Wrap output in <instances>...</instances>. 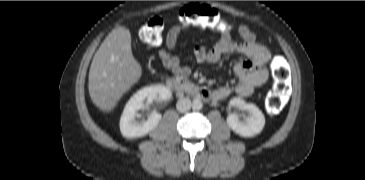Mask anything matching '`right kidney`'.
I'll return each instance as SVG.
<instances>
[{
    "label": "right kidney",
    "instance_id": "ca27d5eb",
    "mask_svg": "<svg viewBox=\"0 0 365 180\" xmlns=\"http://www.w3.org/2000/svg\"><path fill=\"white\" fill-rule=\"evenodd\" d=\"M171 95L170 89L163 85L147 86L135 93L127 102L120 119V131L123 137L134 139L154 130L161 121L162 115L152 112L145 122L139 123L136 121V117L139 116L138 111L144 109L145 100L147 103H152L157 98L169 100Z\"/></svg>",
    "mask_w": 365,
    "mask_h": 180
}]
</instances>
